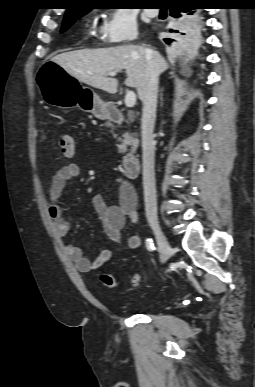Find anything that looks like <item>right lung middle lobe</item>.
Returning <instances> with one entry per match:
<instances>
[{
    "mask_svg": "<svg viewBox=\"0 0 255 387\" xmlns=\"http://www.w3.org/2000/svg\"><path fill=\"white\" fill-rule=\"evenodd\" d=\"M87 12L88 11H84V12L71 11L69 13H66L63 20L61 32L66 31L75 22L77 18L83 16Z\"/></svg>",
    "mask_w": 255,
    "mask_h": 387,
    "instance_id": "dd1d6c3e",
    "label": "right lung middle lobe"
}]
</instances>
